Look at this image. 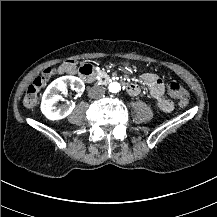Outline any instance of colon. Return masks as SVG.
I'll return each instance as SVG.
<instances>
[{"mask_svg":"<svg viewBox=\"0 0 217 217\" xmlns=\"http://www.w3.org/2000/svg\"><path fill=\"white\" fill-rule=\"evenodd\" d=\"M58 69L60 73L64 75H72L76 73L78 66L76 62L72 60H64L60 62ZM56 72L54 68L47 66L41 70V72L35 75L33 82L28 86L24 98L23 104L28 109H33L38 103L39 91L46 87V85L54 79ZM169 92L177 99L180 106H186L189 103L188 91L178 82L169 83Z\"/></svg>","mask_w":217,"mask_h":217,"instance_id":"5ec220e1","label":"colon"}]
</instances>
